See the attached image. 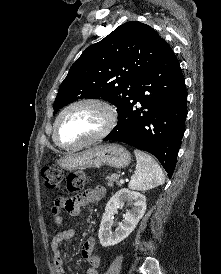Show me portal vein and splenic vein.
Wrapping results in <instances>:
<instances>
[{
    "instance_id": "obj_1",
    "label": "portal vein and splenic vein",
    "mask_w": 221,
    "mask_h": 274,
    "mask_svg": "<svg viewBox=\"0 0 221 274\" xmlns=\"http://www.w3.org/2000/svg\"><path fill=\"white\" fill-rule=\"evenodd\" d=\"M120 182H121V183H124V180H123V179H121V180H120Z\"/></svg>"
}]
</instances>
